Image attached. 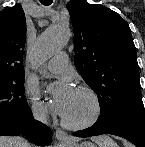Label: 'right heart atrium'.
I'll return each instance as SVG.
<instances>
[{
	"label": "right heart atrium",
	"instance_id": "d8ad5b80",
	"mask_svg": "<svg viewBox=\"0 0 145 147\" xmlns=\"http://www.w3.org/2000/svg\"><path fill=\"white\" fill-rule=\"evenodd\" d=\"M27 98L32 117L38 122H44L48 117L47 106L39 99L37 92L33 89L27 90Z\"/></svg>",
	"mask_w": 145,
	"mask_h": 147
}]
</instances>
